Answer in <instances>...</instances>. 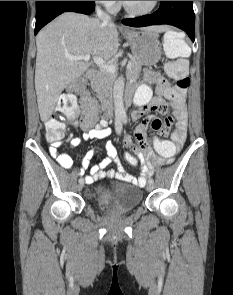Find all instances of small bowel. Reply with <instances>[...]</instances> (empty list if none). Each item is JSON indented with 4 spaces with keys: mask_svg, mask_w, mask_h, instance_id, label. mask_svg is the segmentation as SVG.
Wrapping results in <instances>:
<instances>
[{
    "mask_svg": "<svg viewBox=\"0 0 233 295\" xmlns=\"http://www.w3.org/2000/svg\"><path fill=\"white\" fill-rule=\"evenodd\" d=\"M147 84L141 85L136 92L135 104L136 109L132 112L133 121H140L134 137L126 136L124 138L125 147L131 149L136 155L141 164L140 175L133 177L128 175L118 157L117 150L111 140L106 142L107 157L99 164L93 165L90 168V175L85 177L88 184L103 178H115L119 180L130 181L134 184L143 186L147 178L153 174L155 165H166L172 162L173 155L170 157H156L151 151V147L147 141V130L151 127L160 133H168L172 125H175V130L171 134V142L175 149L179 150L187 135V112L185 106V93L172 95L171 87L167 81L157 72L148 71L145 75ZM156 86L157 94L153 96L152 87ZM80 106L82 115L78 123V127L82 130V139L90 138L104 139L111 135V130L108 128L106 119L96 121L95 102L91 95L87 92L81 94ZM173 110V116H168L164 120L156 118L151 112L167 114L169 110ZM82 139L80 137L71 136L67 141L71 147L80 145ZM59 143H52L49 147V152L57 162L65 167L70 168L73 164L72 158L66 153H60L58 150ZM175 150V151H176ZM95 153V149L88 150L83 158L82 166L78 172L83 175L90 165V161ZM111 163L116 164V169H106Z\"/></svg>",
    "mask_w": 233,
    "mask_h": 295,
    "instance_id": "1",
    "label": "small bowel"
}]
</instances>
